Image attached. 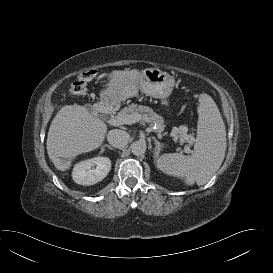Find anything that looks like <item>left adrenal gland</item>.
<instances>
[{"instance_id":"a2214340","label":"left adrenal gland","mask_w":273,"mask_h":273,"mask_svg":"<svg viewBox=\"0 0 273 273\" xmlns=\"http://www.w3.org/2000/svg\"><path fill=\"white\" fill-rule=\"evenodd\" d=\"M155 145H156V148H155L154 159L156 160L159 156L160 151H161L162 144L157 139H155Z\"/></svg>"}]
</instances>
